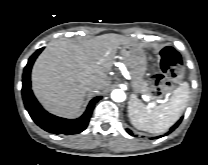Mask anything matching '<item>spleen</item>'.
<instances>
[{"label": "spleen", "mask_w": 208, "mask_h": 165, "mask_svg": "<svg viewBox=\"0 0 208 165\" xmlns=\"http://www.w3.org/2000/svg\"><path fill=\"white\" fill-rule=\"evenodd\" d=\"M189 85L184 82L170 99L154 108L144 105L132 95L128 105V116L132 125L150 133H163L181 117L189 100Z\"/></svg>", "instance_id": "obj_1"}]
</instances>
